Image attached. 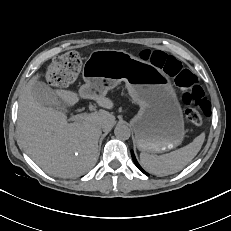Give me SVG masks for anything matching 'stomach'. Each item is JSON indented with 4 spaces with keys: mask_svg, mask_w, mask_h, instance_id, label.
<instances>
[{
    "mask_svg": "<svg viewBox=\"0 0 231 231\" xmlns=\"http://www.w3.org/2000/svg\"><path fill=\"white\" fill-rule=\"evenodd\" d=\"M81 93L105 95L120 82L140 109L132 119L136 144L147 153H161L181 144L183 113L170 78L160 68L119 50H95L83 65Z\"/></svg>",
    "mask_w": 231,
    "mask_h": 231,
    "instance_id": "0dacf381",
    "label": "stomach"
}]
</instances>
